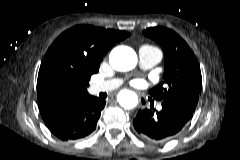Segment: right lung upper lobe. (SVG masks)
Listing matches in <instances>:
<instances>
[{"mask_svg":"<svg viewBox=\"0 0 240 160\" xmlns=\"http://www.w3.org/2000/svg\"><path fill=\"white\" fill-rule=\"evenodd\" d=\"M128 32L77 25L63 32L47 50L41 63L38 80V106L56 99H64L59 79L70 74L98 72L102 57Z\"/></svg>","mask_w":240,"mask_h":160,"instance_id":"1","label":"right lung upper lobe"}]
</instances>
